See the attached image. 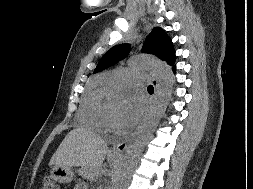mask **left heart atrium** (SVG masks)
<instances>
[{
    "label": "left heart atrium",
    "mask_w": 253,
    "mask_h": 189,
    "mask_svg": "<svg viewBox=\"0 0 253 189\" xmlns=\"http://www.w3.org/2000/svg\"><path fill=\"white\" fill-rule=\"evenodd\" d=\"M144 111L142 100L132 95L128 98L126 107L118 118L119 124L124 128L134 126L141 118Z\"/></svg>",
    "instance_id": "1"
}]
</instances>
